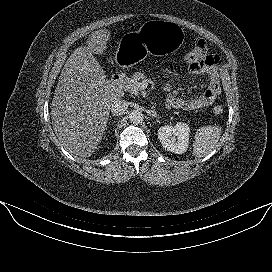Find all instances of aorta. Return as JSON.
I'll list each match as a JSON object with an SVG mask.
<instances>
[{
	"instance_id": "aorta-1",
	"label": "aorta",
	"mask_w": 272,
	"mask_h": 272,
	"mask_svg": "<svg viewBox=\"0 0 272 272\" xmlns=\"http://www.w3.org/2000/svg\"><path fill=\"white\" fill-rule=\"evenodd\" d=\"M144 117L141 111L133 110L129 114V120L133 124H139L143 121Z\"/></svg>"
}]
</instances>
